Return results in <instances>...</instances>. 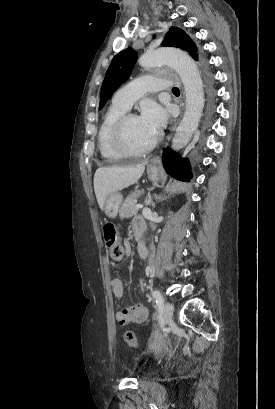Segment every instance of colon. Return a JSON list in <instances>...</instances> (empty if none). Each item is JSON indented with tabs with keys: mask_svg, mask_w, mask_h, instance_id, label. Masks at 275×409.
<instances>
[{
	"mask_svg": "<svg viewBox=\"0 0 275 409\" xmlns=\"http://www.w3.org/2000/svg\"><path fill=\"white\" fill-rule=\"evenodd\" d=\"M103 235L107 248L110 251V257H112L114 261H118L119 263H121L124 258V247L123 244L120 242L121 239L120 228L111 222H107L103 226ZM124 339L129 347L135 349L139 348L140 343L136 339L133 331L131 330L125 331Z\"/></svg>",
	"mask_w": 275,
	"mask_h": 409,
	"instance_id": "obj_1",
	"label": "colon"
}]
</instances>
